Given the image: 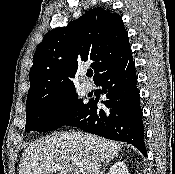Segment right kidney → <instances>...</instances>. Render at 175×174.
<instances>
[{
	"instance_id": "1",
	"label": "right kidney",
	"mask_w": 175,
	"mask_h": 174,
	"mask_svg": "<svg viewBox=\"0 0 175 174\" xmlns=\"http://www.w3.org/2000/svg\"><path fill=\"white\" fill-rule=\"evenodd\" d=\"M108 174H130L126 164L123 161H118L111 166Z\"/></svg>"
}]
</instances>
